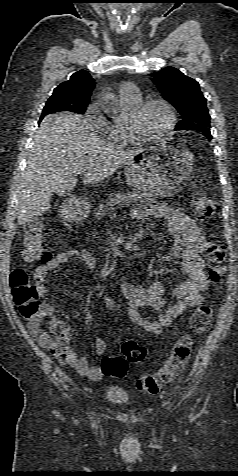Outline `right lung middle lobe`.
Returning <instances> with one entry per match:
<instances>
[{
    "label": "right lung middle lobe",
    "mask_w": 238,
    "mask_h": 476,
    "mask_svg": "<svg viewBox=\"0 0 238 476\" xmlns=\"http://www.w3.org/2000/svg\"><path fill=\"white\" fill-rule=\"evenodd\" d=\"M87 105H76L73 104L72 101L70 100L69 97L63 96V95H52L44 109L42 116H45L47 114H50L52 112H60V111H69V112H74L78 114H83L86 110Z\"/></svg>",
    "instance_id": "dd1d6c3e"
}]
</instances>
